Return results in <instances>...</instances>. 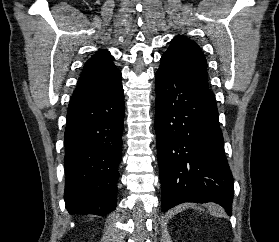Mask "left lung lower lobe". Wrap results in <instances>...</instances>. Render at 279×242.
I'll return each mask as SVG.
<instances>
[{
    "instance_id": "left-lung-lower-lobe-1",
    "label": "left lung lower lobe",
    "mask_w": 279,
    "mask_h": 242,
    "mask_svg": "<svg viewBox=\"0 0 279 242\" xmlns=\"http://www.w3.org/2000/svg\"><path fill=\"white\" fill-rule=\"evenodd\" d=\"M155 77L162 211L185 202L213 201L231 215L234 181L214 94L170 56L161 57Z\"/></svg>"
}]
</instances>
